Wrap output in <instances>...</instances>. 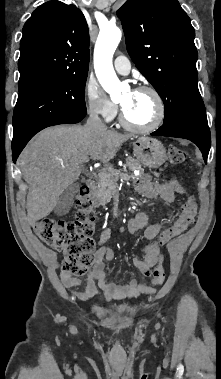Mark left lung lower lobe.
<instances>
[{"label":"left lung lower lobe","mask_w":221,"mask_h":379,"mask_svg":"<svg viewBox=\"0 0 221 379\" xmlns=\"http://www.w3.org/2000/svg\"><path fill=\"white\" fill-rule=\"evenodd\" d=\"M151 135L189 139L199 147L205 162H207L211 146L210 130L207 121L175 117L164 122V124L158 130L151 133Z\"/></svg>","instance_id":"left-lung-lower-lobe-1"}]
</instances>
